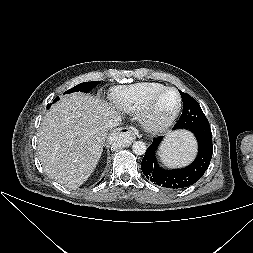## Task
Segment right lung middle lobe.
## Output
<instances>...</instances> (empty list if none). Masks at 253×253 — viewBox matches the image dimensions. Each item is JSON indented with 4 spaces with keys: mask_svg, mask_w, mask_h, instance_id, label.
<instances>
[{
    "mask_svg": "<svg viewBox=\"0 0 253 253\" xmlns=\"http://www.w3.org/2000/svg\"><path fill=\"white\" fill-rule=\"evenodd\" d=\"M99 83H100V81L80 83V84L76 85L75 87L69 89L65 93H71V92H76V91L88 93L90 90H92ZM57 100H59V97H56L54 99V102H56ZM50 106H51V104H49L47 107L49 108Z\"/></svg>",
    "mask_w": 253,
    "mask_h": 253,
    "instance_id": "1",
    "label": "right lung middle lobe"
}]
</instances>
